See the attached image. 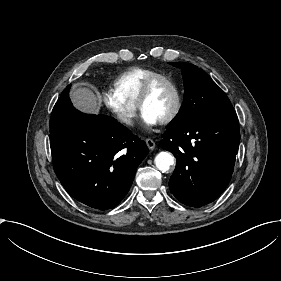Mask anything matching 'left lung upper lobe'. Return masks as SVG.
<instances>
[{
  "label": "left lung upper lobe",
  "mask_w": 281,
  "mask_h": 281,
  "mask_svg": "<svg viewBox=\"0 0 281 281\" xmlns=\"http://www.w3.org/2000/svg\"><path fill=\"white\" fill-rule=\"evenodd\" d=\"M169 64L181 69L185 93L179 113L167 128L233 111L227 95L205 71L183 62Z\"/></svg>",
  "instance_id": "obj_1"
}]
</instances>
